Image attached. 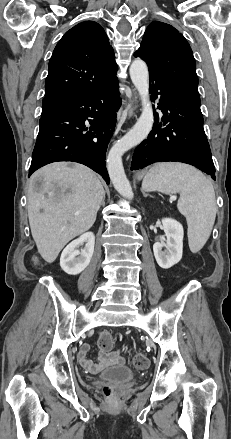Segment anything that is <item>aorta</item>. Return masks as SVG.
I'll return each mask as SVG.
<instances>
[{
  "instance_id": "762f6f07",
  "label": "aorta",
  "mask_w": 231,
  "mask_h": 439,
  "mask_svg": "<svg viewBox=\"0 0 231 439\" xmlns=\"http://www.w3.org/2000/svg\"><path fill=\"white\" fill-rule=\"evenodd\" d=\"M129 72L142 101V113L132 129L110 149L107 156V169L117 192L123 197L132 199L134 194L124 172L122 156L148 136L153 126L154 115L149 96V73L146 63L139 58L135 59Z\"/></svg>"
}]
</instances>
